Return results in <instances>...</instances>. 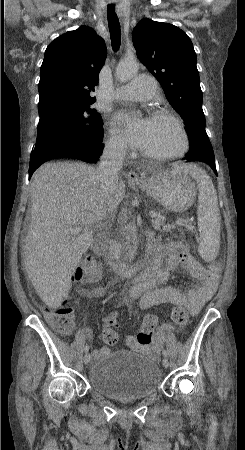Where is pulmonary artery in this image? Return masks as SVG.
<instances>
[{
    "label": "pulmonary artery",
    "instance_id": "1",
    "mask_svg": "<svg viewBox=\"0 0 245 450\" xmlns=\"http://www.w3.org/2000/svg\"><path fill=\"white\" fill-rule=\"evenodd\" d=\"M159 95L153 76L141 75L118 87L115 99L118 101H144Z\"/></svg>",
    "mask_w": 245,
    "mask_h": 450
}]
</instances>
